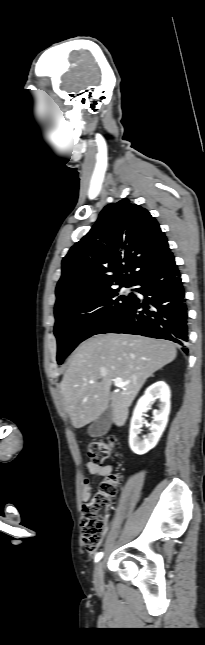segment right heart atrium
<instances>
[{"mask_svg": "<svg viewBox=\"0 0 205 645\" xmlns=\"http://www.w3.org/2000/svg\"><path fill=\"white\" fill-rule=\"evenodd\" d=\"M93 314L97 318H104L106 316V308L104 306H96L93 310Z\"/></svg>", "mask_w": 205, "mask_h": 645, "instance_id": "1", "label": "right heart atrium"}]
</instances>
